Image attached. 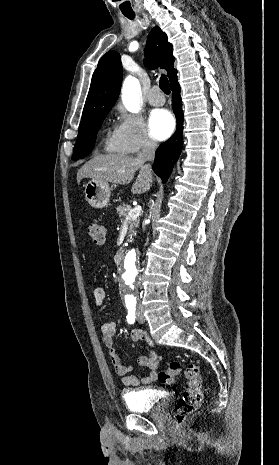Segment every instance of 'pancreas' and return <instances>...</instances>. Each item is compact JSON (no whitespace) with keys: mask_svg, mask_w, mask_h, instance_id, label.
<instances>
[{"mask_svg":"<svg viewBox=\"0 0 279 465\" xmlns=\"http://www.w3.org/2000/svg\"><path fill=\"white\" fill-rule=\"evenodd\" d=\"M131 210V206L130 205H125L123 204V206H118L117 207V214L119 216V218L121 219V221H125L127 220V215L128 213L130 212ZM139 218H136V219H131V220H128L129 224H130V228H129V235L132 236V235H135V229L139 227Z\"/></svg>","mask_w":279,"mask_h":465,"instance_id":"pancreas-1","label":"pancreas"}]
</instances>
